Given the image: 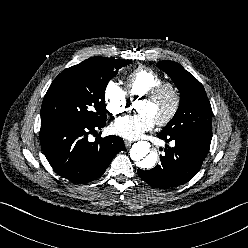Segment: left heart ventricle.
<instances>
[{
    "label": "left heart ventricle",
    "mask_w": 248,
    "mask_h": 248,
    "mask_svg": "<svg viewBox=\"0 0 248 248\" xmlns=\"http://www.w3.org/2000/svg\"><path fill=\"white\" fill-rule=\"evenodd\" d=\"M172 103L173 98L170 91L164 90L152 100L142 99L138 105V111L148 113L156 122L169 112Z\"/></svg>",
    "instance_id": "obj_1"
}]
</instances>
